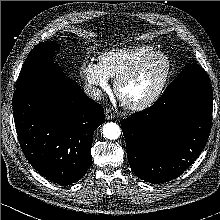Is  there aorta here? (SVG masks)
I'll return each mask as SVG.
<instances>
[{"label": "aorta", "mask_w": 220, "mask_h": 220, "mask_svg": "<svg viewBox=\"0 0 220 220\" xmlns=\"http://www.w3.org/2000/svg\"><path fill=\"white\" fill-rule=\"evenodd\" d=\"M120 134V128L116 123L110 122L103 126V135L107 139L116 140Z\"/></svg>", "instance_id": "762f6f07"}]
</instances>
